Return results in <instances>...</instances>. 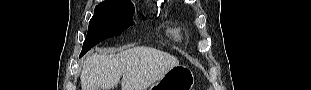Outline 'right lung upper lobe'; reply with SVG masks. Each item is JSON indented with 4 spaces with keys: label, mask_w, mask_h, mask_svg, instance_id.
<instances>
[{
    "label": "right lung upper lobe",
    "mask_w": 311,
    "mask_h": 90,
    "mask_svg": "<svg viewBox=\"0 0 311 90\" xmlns=\"http://www.w3.org/2000/svg\"><path fill=\"white\" fill-rule=\"evenodd\" d=\"M104 2H118V3L132 4L129 0H105Z\"/></svg>",
    "instance_id": "cb5924a9"
}]
</instances>
